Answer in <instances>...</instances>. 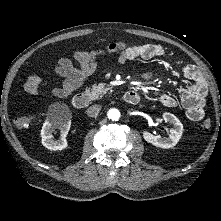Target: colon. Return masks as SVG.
<instances>
[{"label": "colon", "mask_w": 221, "mask_h": 221, "mask_svg": "<svg viewBox=\"0 0 221 221\" xmlns=\"http://www.w3.org/2000/svg\"><path fill=\"white\" fill-rule=\"evenodd\" d=\"M41 82L42 79L39 75H32L27 79L24 85V89L26 92L30 94H37L39 92ZM31 121H32L31 117H20L16 120V125L19 128H25L30 125ZM211 127H212V122L210 119H205L201 125V129L204 132H209L211 130Z\"/></svg>", "instance_id": "colon-1"}]
</instances>
